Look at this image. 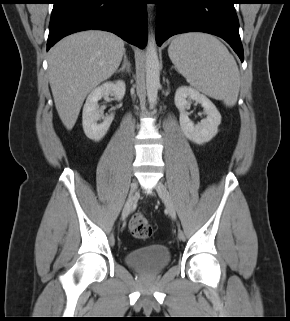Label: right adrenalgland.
<instances>
[{"instance_id": "obj_1", "label": "right adrenal gland", "mask_w": 290, "mask_h": 321, "mask_svg": "<svg viewBox=\"0 0 290 321\" xmlns=\"http://www.w3.org/2000/svg\"><path fill=\"white\" fill-rule=\"evenodd\" d=\"M127 72L130 74L131 72V64L127 58L126 52H124V57H123V63L120 69H118L115 73H120V72Z\"/></svg>"}]
</instances>
